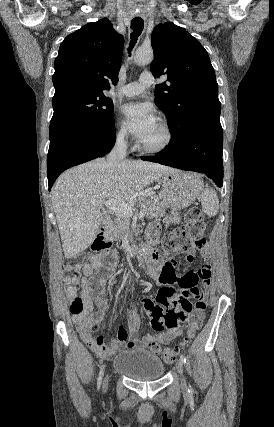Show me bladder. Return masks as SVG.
I'll use <instances>...</instances> for the list:
<instances>
[{"mask_svg":"<svg viewBox=\"0 0 274 427\" xmlns=\"http://www.w3.org/2000/svg\"><path fill=\"white\" fill-rule=\"evenodd\" d=\"M113 367L115 373L133 380L162 378L166 371L164 361L146 349H131L116 354Z\"/></svg>","mask_w":274,"mask_h":427,"instance_id":"obj_1","label":"bladder"}]
</instances>
